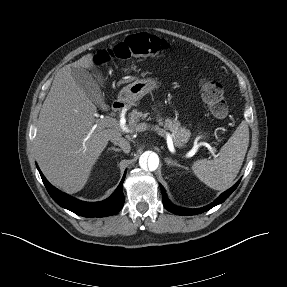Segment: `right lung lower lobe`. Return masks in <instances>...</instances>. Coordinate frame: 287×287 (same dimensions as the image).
Returning <instances> with one entry per match:
<instances>
[{
  "label": "right lung lower lobe",
  "instance_id": "right-lung-lower-lobe-1",
  "mask_svg": "<svg viewBox=\"0 0 287 287\" xmlns=\"http://www.w3.org/2000/svg\"><path fill=\"white\" fill-rule=\"evenodd\" d=\"M39 172L42 181L53 200L63 208H66L77 215L84 217H105L119 212L123 207L124 195L122 192V185L125 179V175L115 192L108 199L101 202H83L53 187L46 180L40 170Z\"/></svg>",
  "mask_w": 287,
  "mask_h": 287
}]
</instances>
